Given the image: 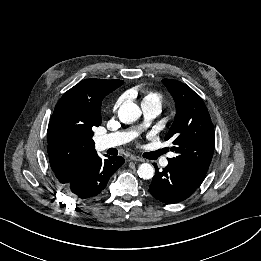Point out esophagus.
<instances>
[{
  "label": "esophagus",
  "mask_w": 261,
  "mask_h": 261,
  "mask_svg": "<svg viewBox=\"0 0 261 261\" xmlns=\"http://www.w3.org/2000/svg\"><path fill=\"white\" fill-rule=\"evenodd\" d=\"M130 159L132 161H139V162H144L145 161L143 158H141L139 156H135V155L130 156Z\"/></svg>",
  "instance_id": "1"
}]
</instances>
